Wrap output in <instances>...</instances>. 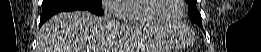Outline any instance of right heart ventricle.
I'll return each instance as SVG.
<instances>
[{
	"mask_svg": "<svg viewBox=\"0 0 261 52\" xmlns=\"http://www.w3.org/2000/svg\"><path fill=\"white\" fill-rule=\"evenodd\" d=\"M143 1L144 0L128 1L119 7V9L127 13V18L125 20L126 24L152 23L145 15L144 11L140 9Z\"/></svg>",
	"mask_w": 261,
	"mask_h": 52,
	"instance_id": "obj_1",
	"label": "right heart ventricle"
}]
</instances>
